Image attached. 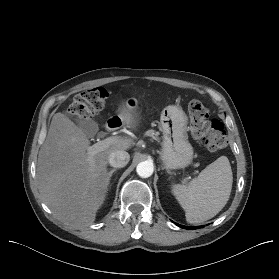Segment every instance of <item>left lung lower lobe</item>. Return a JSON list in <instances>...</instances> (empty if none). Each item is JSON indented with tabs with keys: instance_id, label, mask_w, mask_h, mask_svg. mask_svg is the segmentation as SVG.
Listing matches in <instances>:
<instances>
[{
	"instance_id": "obj_1",
	"label": "left lung lower lobe",
	"mask_w": 279,
	"mask_h": 279,
	"mask_svg": "<svg viewBox=\"0 0 279 279\" xmlns=\"http://www.w3.org/2000/svg\"><path fill=\"white\" fill-rule=\"evenodd\" d=\"M178 226H180L181 228H184V229H196V228H198V227H186V226H182V225H178Z\"/></svg>"
}]
</instances>
